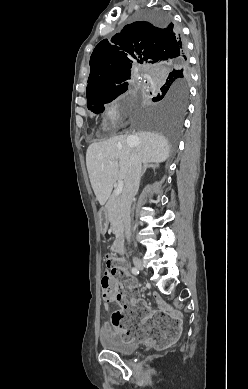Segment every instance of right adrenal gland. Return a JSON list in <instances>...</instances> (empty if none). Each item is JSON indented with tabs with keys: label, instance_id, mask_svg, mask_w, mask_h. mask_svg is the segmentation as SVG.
<instances>
[{
	"label": "right adrenal gland",
	"instance_id": "obj_1",
	"mask_svg": "<svg viewBox=\"0 0 248 389\" xmlns=\"http://www.w3.org/2000/svg\"><path fill=\"white\" fill-rule=\"evenodd\" d=\"M158 167L157 164H154V163H145L144 166H143V169H142V173H141V177L145 174L147 168H152V169H156Z\"/></svg>",
	"mask_w": 248,
	"mask_h": 389
}]
</instances>
